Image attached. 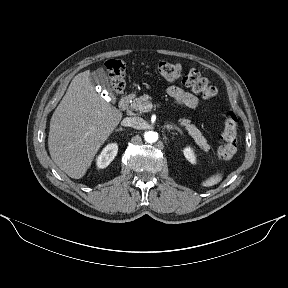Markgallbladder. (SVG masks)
Instances as JSON below:
<instances>
[{"mask_svg": "<svg viewBox=\"0 0 288 288\" xmlns=\"http://www.w3.org/2000/svg\"><path fill=\"white\" fill-rule=\"evenodd\" d=\"M90 81L94 85H101L102 89L110 91V83L109 77L104 70V68L100 67L97 70L90 73Z\"/></svg>", "mask_w": 288, "mask_h": 288, "instance_id": "bac80fb5", "label": "gallbladder"}]
</instances>
